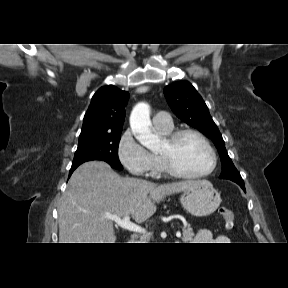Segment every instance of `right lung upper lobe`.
I'll list each match as a JSON object with an SVG mask.
<instances>
[{"mask_svg": "<svg viewBox=\"0 0 288 288\" xmlns=\"http://www.w3.org/2000/svg\"><path fill=\"white\" fill-rule=\"evenodd\" d=\"M128 98L127 91L113 85L98 89L84 116L79 140L121 132Z\"/></svg>", "mask_w": 288, "mask_h": 288, "instance_id": "right-lung-upper-lobe-1", "label": "right lung upper lobe"}]
</instances>
